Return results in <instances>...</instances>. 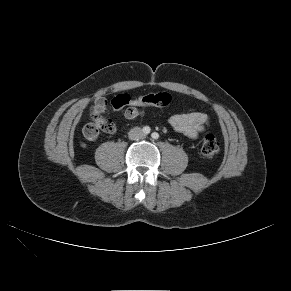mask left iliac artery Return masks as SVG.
<instances>
[{
  "instance_id": "left-iliac-artery-1",
  "label": "left iliac artery",
  "mask_w": 291,
  "mask_h": 291,
  "mask_svg": "<svg viewBox=\"0 0 291 291\" xmlns=\"http://www.w3.org/2000/svg\"><path fill=\"white\" fill-rule=\"evenodd\" d=\"M151 137H152L153 139L157 140V139L159 138V134H158L157 132H153V133L151 134Z\"/></svg>"
}]
</instances>
